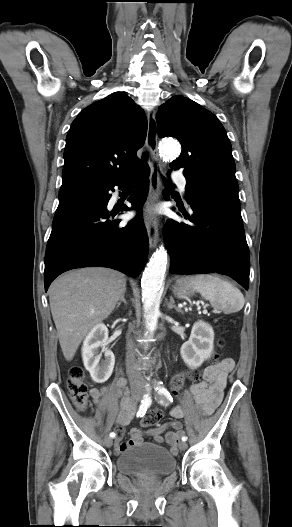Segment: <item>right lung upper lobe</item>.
Segmentation results:
<instances>
[{
    "instance_id": "obj_1",
    "label": "right lung upper lobe",
    "mask_w": 292,
    "mask_h": 527,
    "mask_svg": "<svg viewBox=\"0 0 292 527\" xmlns=\"http://www.w3.org/2000/svg\"><path fill=\"white\" fill-rule=\"evenodd\" d=\"M147 119L125 93L115 92L83 109L66 137L63 183L89 180L102 185L132 174L144 144Z\"/></svg>"
}]
</instances>
